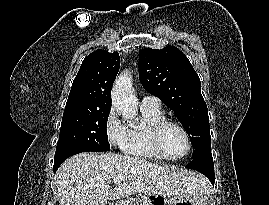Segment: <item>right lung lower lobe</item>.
<instances>
[{"label":"right lung lower lobe","instance_id":"obj_1","mask_svg":"<svg viewBox=\"0 0 269 205\" xmlns=\"http://www.w3.org/2000/svg\"><path fill=\"white\" fill-rule=\"evenodd\" d=\"M102 152V150L93 147H80V146H65L56 149L54 157V172L68 157L81 153V152Z\"/></svg>","mask_w":269,"mask_h":205}]
</instances>
